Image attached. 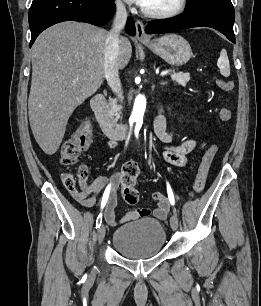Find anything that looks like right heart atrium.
Returning <instances> with one entry per match:
<instances>
[{"label":"right heart atrium","instance_id":"right-heart-atrium-1","mask_svg":"<svg viewBox=\"0 0 261 306\" xmlns=\"http://www.w3.org/2000/svg\"><path fill=\"white\" fill-rule=\"evenodd\" d=\"M116 8L120 11L124 10L125 6L123 0H115Z\"/></svg>","mask_w":261,"mask_h":306}]
</instances>
